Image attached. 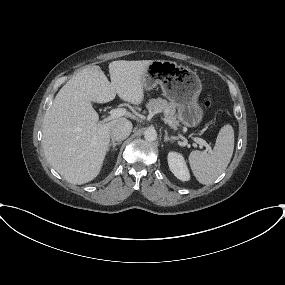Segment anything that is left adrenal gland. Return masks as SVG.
I'll list each match as a JSON object with an SVG mask.
<instances>
[{
  "mask_svg": "<svg viewBox=\"0 0 285 285\" xmlns=\"http://www.w3.org/2000/svg\"><path fill=\"white\" fill-rule=\"evenodd\" d=\"M171 142L173 143V140L168 136V132L165 130V137H164V142Z\"/></svg>",
  "mask_w": 285,
  "mask_h": 285,
  "instance_id": "1",
  "label": "left adrenal gland"
}]
</instances>
